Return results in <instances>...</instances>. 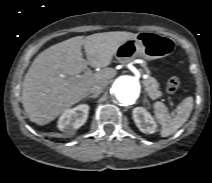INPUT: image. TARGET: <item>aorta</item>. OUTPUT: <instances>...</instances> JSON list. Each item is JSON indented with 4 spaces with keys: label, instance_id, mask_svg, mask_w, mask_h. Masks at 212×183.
Instances as JSON below:
<instances>
[{
    "label": "aorta",
    "instance_id": "obj_1",
    "mask_svg": "<svg viewBox=\"0 0 212 183\" xmlns=\"http://www.w3.org/2000/svg\"><path fill=\"white\" fill-rule=\"evenodd\" d=\"M141 85L133 76L123 75L118 77L112 85L113 99L120 105L133 104L139 97Z\"/></svg>",
    "mask_w": 212,
    "mask_h": 183
}]
</instances>
